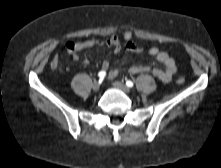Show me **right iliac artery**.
Here are the masks:
<instances>
[{
    "mask_svg": "<svg viewBox=\"0 0 221 168\" xmlns=\"http://www.w3.org/2000/svg\"><path fill=\"white\" fill-rule=\"evenodd\" d=\"M106 73L104 71H100L98 73V77L100 78V80H102L105 77Z\"/></svg>",
    "mask_w": 221,
    "mask_h": 168,
    "instance_id": "right-iliac-artery-1",
    "label": "right iliac artery"
}]
</instances>
